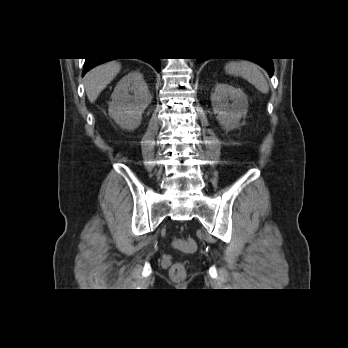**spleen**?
<instances>
[{"instance_id":"1","label":"spleen","mask_w":348,"mask_h":348,"mask_svg":"<svg viewBox=\"0 0 348 348\" xmlns=\"http://www.w3.org/2000/svg\"><path fill=\"white\" fill-rule=\"evenodd\" d=\"M226 73L241 76L263 94L268 93L269 85L259 67L250 61H232L225 66Z\"/></svg>"}]
</instances>
